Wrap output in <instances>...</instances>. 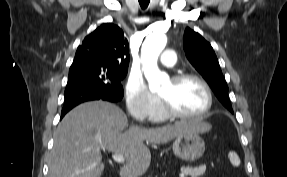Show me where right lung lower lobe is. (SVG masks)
<instances>
[{
  "label": "right lung lower lobe",
  "instance_id": "obj_1",
  "mask_svg": "<svg viewBox=\"0 0 287 177\" xmlns=\"http://www.w3.org/2000/svg\"><path fill=\"white\" fill-rule=\"evenodd\" d=\"M122 97V85L106 86L103 84L86 81L67 84L61 118L73 107L80 103L100 99L116 102L121 100Z\"/></svg>",
  "mask_w": 287,
  "mask_h": 177
}]
</instances>
